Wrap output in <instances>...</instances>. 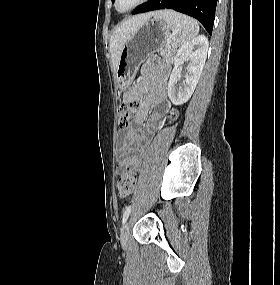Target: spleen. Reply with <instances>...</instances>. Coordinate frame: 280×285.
<instances>
[{
  "instance_id": "3e777b00",
  "label": "spleen",
  "mask_w": 280,
  "mask_h": 285,
  "mask_svg": "<svg viewBox=\"0 0 280 285\" xmlns=\"http://www.w3.org/2000/svg\"><path fill=\"white\" fill-rule=\"evenodd\" d=\"M155 18L163 19L173 31L172 45L179 47L192 40L199 33L198 23L181 13L163 10L158 11Z\"/></svg>"
}]
</instances>
